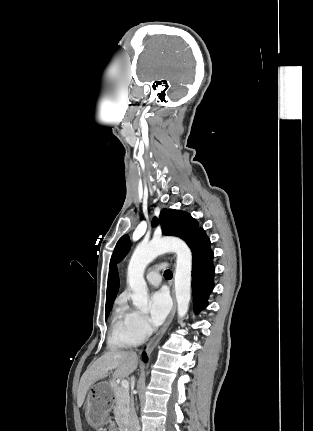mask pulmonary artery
<instances>
[{
    "label": "pulmonary artery",
    "mask_w": 313,
    "mask_h": 431,
    "mask_svg": "<svg viewBox=\"0 0 313 431\" xmlns=\"http://www.w3.org/2000/svg\"><path fill=\"white\" fill-rule=\"evenodd\" d=\"M147 282L152 286H158L161 282V275L159 273V268L151 269L146 275Z\"/></svg>",
    "instance_id": "e3ab8cb5"
}]
</instances>
